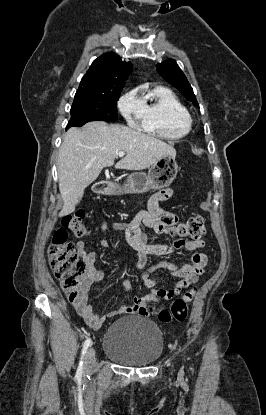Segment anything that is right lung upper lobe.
I'll use <instances>...</instances> for the list:
<instances>
[{
    "label": "right lung upper lobe",
    "mask_w": 266,
    "mask_h": 415,
    "mask_svg": "<svg viewBox=\"0 0 266 415\" xmlns=\"http://www.w3.org/2000/svg\"><path fill=\"white\" fill-rule=\"evenodd\" d=\"M131 72L132 63L122 61L116 53H104L93 61L76 94L109 95L121 92Z\"/></svg>",
    "instance_id": "cb5924a9"
}]
</instances>
